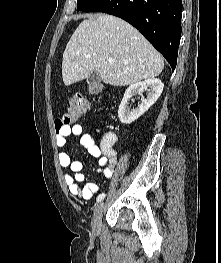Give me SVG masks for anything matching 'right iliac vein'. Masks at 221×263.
<instances>
[{
    "instance_id": "1",
    "label": "right iliac vein",
    "mask_w": 221,
    "mask_h": 263,
    "mask_svg": "<svg viewBox=\"0 0 221 263\" xmlns=\"http://www.w3.org/2000/svg\"><path fill=\"white\" fill-rule=\"evenodd\" d=\"M104 209V202H99L94 210L92 229L94 232H98L101 226V218Z\"/></svg>"
}]
</instances>
